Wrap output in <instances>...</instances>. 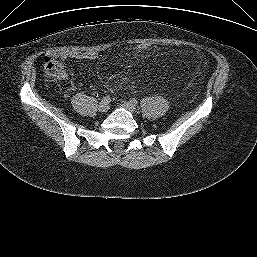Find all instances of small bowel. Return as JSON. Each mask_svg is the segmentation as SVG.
<instances>
[{"instance_id": "small-bowel-1", "label": "small bowel", "mask_w": 257, "mask_h": 257, "mask_svg": "<svg viewBox=\"0 0 257 257\" xmlns=\"http://www.w3.org/2000/svg\"><path fill=\"white\" fill-rule=\"evenodd\" d=\"M98 54L94 51H60L51 50L47 53L46 59H95Z\"/></svg>"}]
</instances>
